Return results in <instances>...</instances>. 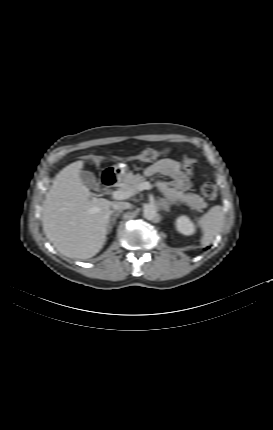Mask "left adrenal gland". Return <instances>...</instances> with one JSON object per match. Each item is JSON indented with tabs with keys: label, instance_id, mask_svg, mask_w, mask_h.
I'll use <instances>...</instances> for the list:
<instances>
[{
	"label": "left adrenal gland",
	"instance_id": "left-adrenal-gland-1",
	"mask_svg": "<svg viewBox=\"0 0 273 430\" xmlns=\"http://www.w3.org/2000/svg\"><path fill=\"white\" fill-rule=\"evenodd\" d=\"M159 204L164 211H166V212L170 211V206L172 205L171 202H168V201L163 199V200L159 201Z\"/></svg>",
	"mask_w": 273,
	"mask_h": 430
}]
</instances>
